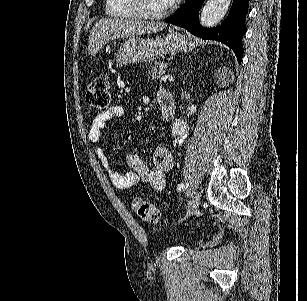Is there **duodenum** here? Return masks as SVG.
<instances>
[{
	"instance_id": "obj_1",
	"label": "duodenum",
	"mask_w": 307,
	"mask_h": 301,
	"mask_svg": "<svg viewBox=\"0 0 307 301\" xmlns=\"http://www.w3.org/2000/svg\"><path fill=\"white\" fill-rule=\"evenodd\" d=\"M161 116L165 121L171 120L174 117L176 104L174 97L168 91H162L158 96Z\"/></svg>"
}]
</instances>
